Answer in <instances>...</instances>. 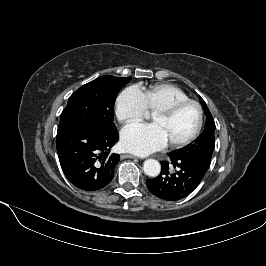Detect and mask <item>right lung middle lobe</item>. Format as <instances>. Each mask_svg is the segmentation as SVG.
Masks as SVG:
<instances>
[{"label": "right lung middle lobe", "mask_w": 266, "mask_h": 266, "mask_svg": "<svg viewBox=\"0 0 266 266\" xmlns=\"http://www.w3.org/2000/svg\"><path fill=\"white\" fill-rule=\"evenodd\" d=\"M130 79L105 75L80 87L69 97L61 113L59 127L75 124L101 130L114 128L116 96Z\"/></svg>", "instance_id": "1"}]
</instances>
